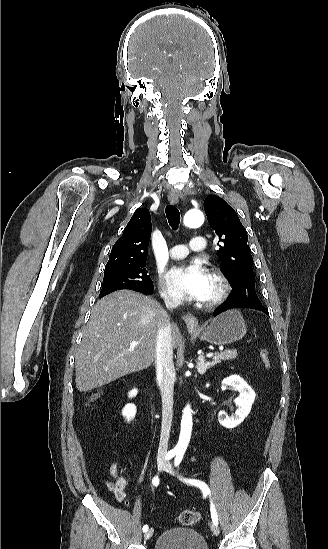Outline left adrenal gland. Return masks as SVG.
Here are the masks:
<instances>
[{
    "label": "left adrenal gland",
    "instance_id": "1",
    "mask_svg": "<svg viewBox=\"0 0 328 549\" xmlns=\"http://www.w3.org/2000/svg\"><path fill=\"white\" fill-rule=\"evenodd\" d=\"M197 369H198V373H201V375H203V373H205V371H207V369H210V367H213V363H205V359L204 357H201V361H197Z\"/></svg>",
    "mask_w": 328,
    "mask_h": 549
}]
</instances>
